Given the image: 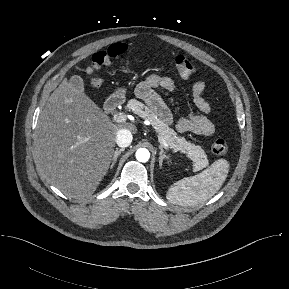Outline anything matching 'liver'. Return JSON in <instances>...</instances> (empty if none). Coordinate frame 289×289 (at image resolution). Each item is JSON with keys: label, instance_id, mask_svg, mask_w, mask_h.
I'll return each mask as SVG.
<instances>
[{"label": "liver", "instance_id": "6515ba94", "mask_svg": "<svg viewBox=\"0 0 289 289\" xmlns=\"http://www.w3.org/2000/svg\"><path fill=\"white\" fill-rule=\"evenodd\" d=\"M122 128L136 132L131 123H112L83 90L63 80L39 116L34 144L38 172L69 198L92 195L108 172Z\"/></svg>", "mask_w": 289, "mask_h": 289}]
</instances>
